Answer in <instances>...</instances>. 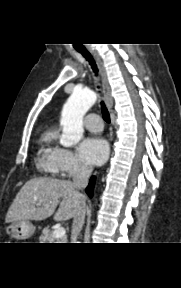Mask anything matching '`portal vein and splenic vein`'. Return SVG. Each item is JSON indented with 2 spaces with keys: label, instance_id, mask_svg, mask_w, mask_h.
Instances as JSON below:
<instances>
[{
  "label": "portal vein and splenic vein",
  "instance_id": "1",
  "mask_svg": "<svg viewBox=\"0 0 181 288\" xmlns=\"http://www.w3.org/2000/svg\"><path fill=\"white\" fill-rule=\"evenodd\" d=\"M37 205L39 206V205H41V203L38 202ZM65 234H66V231H65V228H63V227H59V228L55 229L53 232V235L56 238L64 237Z\"/></svg>",
  "mask_w": 181,
  "mask_h": 288
}]
</instances>
